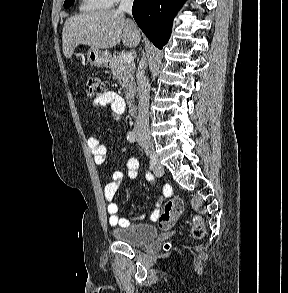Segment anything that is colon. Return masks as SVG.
<instances>
[{"instance_id": "obj_1", "label": "colon", "mask_w": 288, "mask_h": 293, "mask_svg": "<svg viewBox=\"0 0 288 293\" xmlns=\"http://www.w3.org/2000/svg\"><path fill=\"white\" fill-rule=\"evenodd\" d=\"M107 92V83L99 77H90L86 85V93L89 97L98 99ZM183 211V202L180 198H171L163 206L158 216L159 227L162 229L171 228ZM192 235L201 239L205 235V226L200 217H195L192 226Z\"/></svg>"}]
</instances>
